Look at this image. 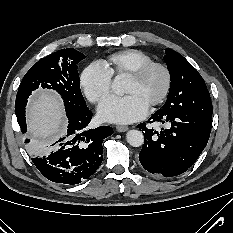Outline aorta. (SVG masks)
<instances>
[{
    "label": "aorta",
    "instance_id": "1",
    "mask_svg": "<svg viewBox=\"0 0 233 233\" xmlns=\"http://www.w3.org/2000/svg\"><path fill=\"white\" fill-rule=\"evenodd\" d=\"M112 90L117 95H123L125 92V81L122 76L118 75L112 82ZM126 140L129 145L139 147L144 142V136L139 130H130L126 134Z\"/></svg>",
    "mask_w": 233,
    "mask_h": 233
}]
</instances>
